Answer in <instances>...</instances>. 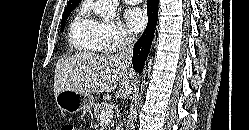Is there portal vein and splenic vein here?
Returning a JSON list of instances; mask_svg holds the SVG:
<instances>
[{
	"label": "portal vein and splenic vein",
	"instance_id": "portal-vein-and-splenic-vein-1",
	"mask_svg": "<svg viewBox=\"0 0 249 130\" xmlns=\"http://www.w3.org/2000/svg\"><path fill=\"white\" fill-rule=\"evenodd\" d=\"M113 117V112L110 110L109 112H102L100 116L101 122H108Z\"/></svg>",
	"mask_w": 249,
	"mask_h": 130
}]
</instances>
